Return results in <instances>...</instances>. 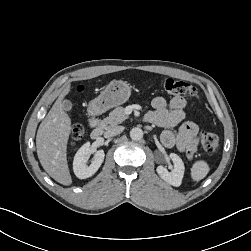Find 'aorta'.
<instances>
[{"instance_id":"1","label":"aorta","mask_w":251,"mask_h":251,"mask_svg":"<svg viewBox=\"0 0 251 251\" xmlns=\"http://www.w3.org/2000/svg\"><path fill=\"white\" fill-rule=\"evenodd\" d=\"M130 138L134 141H139L143 138V131L142 129L135 127L130 131Z\"/></svg>"}]
</instances>
